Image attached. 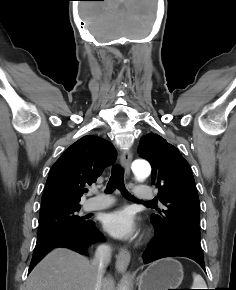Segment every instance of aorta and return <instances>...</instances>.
Returning <instances> with one entry per match:
<instances>
[{
    "label": "aorta",
    "instance_id": "1",
    "mask_svg": "<svg viewBox=\"0 0 236 290\" xmlns=\"http://www.w3.org/2000/svg\"><path fill=\"white\" fill-rule=\"evenodd\" d=\"M132 170L138 181H143L151 173V167L145 161H135L132 165ZM122 290H127V289L123 288Z\"/></svg>",
    "mask_w": 236,
    "mask_h": 290
}]
</instances>
